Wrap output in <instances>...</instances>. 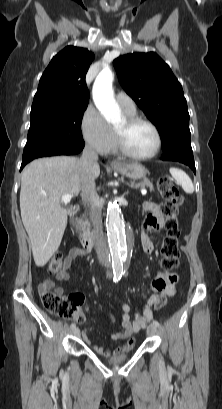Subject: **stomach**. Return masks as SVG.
Wrapping results in <instances>:
<instances>
[{"instance_id": "1", "label": "stomach", "mask_w": 222, "mask_h": 409, "mask_svg": "<svg viewBox=\"0 0 222 409\" xmlns=\"http://www.w3.org/2000/svg\"><path fill=\"white\" fill-rule=\"evenodd\" d=\"M114 171L120 173L133 180H139L146 177L147 170L139 163L122 164L121 166L114 167Z\"/></svg>"}]
</instances>
